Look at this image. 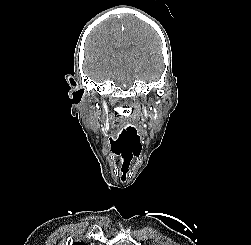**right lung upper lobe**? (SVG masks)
I'll use <instances>...</instances> for the list:
<instances>
[{
	"mask_svg": "<svg viewBox=\"0 0 251 245\" xmlns=\"http://www.w3.org/2000/svg\"><path fill=\"white\" fill-rule=\"evenodd\" d=\"M73 245H86L84 242H75Z\"/></svg>",
	"mask_w": 251,
	"mask_h": 245,
	"instance_id": "1",
	"label": "right lung upper lobe"
}]
</instances>
